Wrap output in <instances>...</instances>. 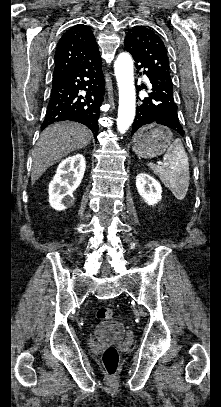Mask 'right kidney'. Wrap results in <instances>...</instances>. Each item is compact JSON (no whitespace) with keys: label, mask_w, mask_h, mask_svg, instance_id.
Masks as SVG:
<instances>
[{"label":"right kidney","mask_w":221,"mask_h":407,"mask_svg":"<svg viewBox=\"0 0 221 407\" xmlns=\"http://www.w3.org/2000/svg\"><path fill=\"white\" fill-rule=\"evenodd\" d=\"M85 168L86 162L82 154L70 156L59 164L48 190L49 203L53 209L62 211L73 204V192L80 185Z\"/></svg>","instance_id":"ca27d5eb"}]
</instances>
